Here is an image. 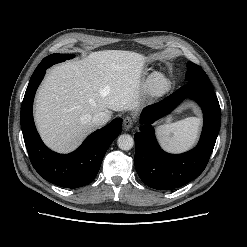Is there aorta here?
<instances>
[{"label": "aorta", "mask_w": 247, "mask_h": 247, "mask_svg": "<svg viewBox=\"0 0 247 247\" xmlns=\"http://www.w3.org/2000/svg\"><path fill=\"white\" fill-rule=\"evenodd\" d=\"M118 147L122 150L128 151L134 146V139L129 134H122L117 140Z\"/></svg>", "instance_id": "obj_1"}]
</instances>
